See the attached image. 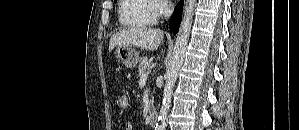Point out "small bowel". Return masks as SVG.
<instances>
[{
  "mask_svg": "<svg viewBox=\"0 0 299 130\" xmlns=\"http://www.w3.org/2000/svg\"><path fill=\"white\" fill-rule=\"evenodd\" d=\"M125 130H134V125L132 122H127L125 125Z\"/></svg>",
  "mask_w": 299,
  "mask_h": 130,
  "instance_id": "1",
  "label": "small bowel"
}]
</instances>
